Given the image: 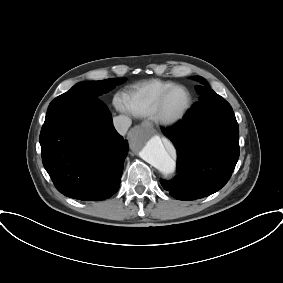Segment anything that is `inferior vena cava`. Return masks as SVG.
I'll list each match as a JSON object with an SVG mask.
<instances>
[{
	"label": "inferior vena cava",
	"instance_id": "1",
	"mask_svg": "<svg viewBox=\"0 0 283 283\" xmlns=\"http://www.w3.org/2000/svg\"><path fill=\"white\" fill-rule=\"evenodd\" d=\"M113 125L116 131L124 136L127 133L128 128L131 126V119L124 115H119L113 118Z\"/></svg>",
	"mask_w": 283,
	"mask_h": 283
}]
</instances>
